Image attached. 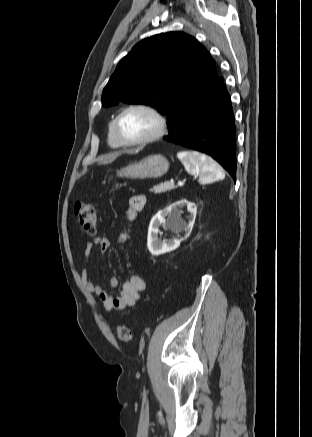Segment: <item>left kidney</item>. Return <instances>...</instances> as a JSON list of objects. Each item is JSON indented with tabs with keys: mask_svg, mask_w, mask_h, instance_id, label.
Returning a JSON list of instances; mask_svg holds the SVG:
<instances>
[{
	"mask_svg": "<svg viewBox=\"0 0 312 437\" xmlns=\"http://www.w3.org/2000/svg\"><path fill=\"white\" fill-rule=\"evenodd\" d=\"M183 205L187 206L188 211L190 212V220L186 223L182 217V211L180 207ZM197 214V206L192 202H188L187 200H180L175 202L168 207L160 210L151 220L149 229H148V237H147V247L152 255L158 256L167 252H171L177 249L180 246L182 241L179 236L172 238L168 242L161 241L158 238L159 227L165 224V217L167 216V227L179 234L183 231L191 232L194 221Z\"/></svg>",
	"mask_w": 312,
	"mask_h": 437,
	"instance_id": "obj_1",
	"label": "left kidney"
}]
</instances>
